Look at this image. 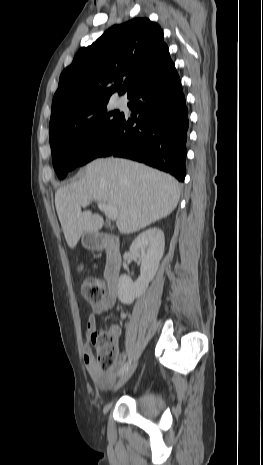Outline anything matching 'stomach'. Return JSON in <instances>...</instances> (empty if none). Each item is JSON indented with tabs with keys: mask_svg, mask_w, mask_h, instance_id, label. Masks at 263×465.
<instances>
[{
	"mask_svg": "<svg viewBox=\"0 0 263 465\" xmlns=\"http://www.w3.org/2000/svg\"><path fill=\"white\" fill-rule=\"evenodd\" d=\"M81 242L85 248L94 249L97 246V237L94 233H84Z\"/></svg>",
	"mask_w": 263,
	"mask_h": 465,
	"instance_id": "0dacf381",
	"label": "stomach"
}]
</instances>
